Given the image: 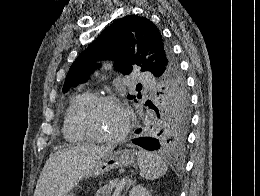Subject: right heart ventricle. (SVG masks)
<instances>
[{"instance_id": "right-heart-ventricle-1", "label": "right heart ventricle", "mask_w": 260, "mask_h": 196, "mask_svg": "<svg viewBox=\"0 0 260 196\" xmlns=\"http://www.w3.org/2000/svg\"><path fill=\"white\" fill-rule=\"evenodd\" d=\"M93 98L94 93L92 91H80L72 100L64 116L62 133L70 145H77L88 140V137L77 126V117L82 108Z\"/></svg>"}]
</instances>
